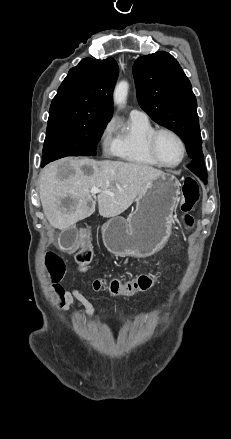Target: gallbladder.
I'll use <instances>...</instances> for the list:
<instances>
[{
	"label": "gallbladder",
	"mask_w": 231,
	"mask_h": 439,
	"mask_svg": "<svg viewBox=\"0 0 231 439\" xmlns=\"http://www.w3.org/2000/svg\"><path fill=\"white\" fill-rule=\"evenodd\" d=\"M78 230L75 226L70 227L67 230H63L59 234L58 245L62 250H69L76 242Z\"/></svg>",
	"instance_id": "gallbladder-1"
}]
</instances>
